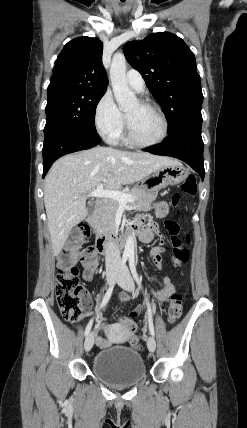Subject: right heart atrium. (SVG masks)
<instances>
[{
  "label": "right heart atrium",
  "mask_w": 247,
  "mask_h": 428,
  "mask_svg": "<svg viewBox=\"0 0 247 428\" xmlns=\"http://www.w3.org/2000/svg\"><path fill=\"white\" fill-rule=\"evenodd\" d=\"M94 123L98 133L108 142H116L124 130V117L110 92H105L96 104Z\"/></svg>",
  "instance_id": "right-heart-atrium-1"
}]
</instances>
